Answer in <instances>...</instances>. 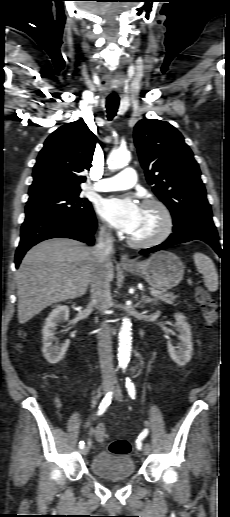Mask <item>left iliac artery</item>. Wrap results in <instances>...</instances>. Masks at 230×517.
Segmentation results:
<instances>
[{"label": "left iliac artery", "mask_w": 230, "mask_h": 517, "mask_svg": "<svg viewBox=\"0 0 230 517\" xmlns=\"http://www.w3.org/2000/svg\"><path fill=\"white\" fill-rule=\"evenodd\" d=\"M126 388H127V392L129 394V396L132 399H135V395H136L135 386H134V384L131 382V380L129 378H126ZM147 434H148V429H144V431L139 435V437H138V439L136 441V445H137L138 449H141V447H142V440L147 436Z\"/></svg>", "instance_id": "1"}]
</instances>
